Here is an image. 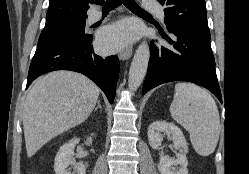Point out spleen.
Instances as JSON below:
<instances>
[{
	"instance_id": "obj_1",
	"label": "spleen",
	"mask_w": 249,
	"mask_h": 174,
	"mask_svg": "<svg viewBox=\"0 0 249 174\" xmlns=\"http://www.w3.org/2000/svg\"><path fill=\"white\" fill-rule=\"evenodd\" d=\"M170 113L189 132L192 146L199 155L208 156L215 151L220 117L208 91L192 83H177Z\"/></svg>"
}]
</instances>
